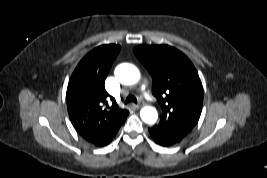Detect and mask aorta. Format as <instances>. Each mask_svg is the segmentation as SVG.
I'll return each mask as SVG.
<instances>
[{"instance_id": "762f6f07", "label": "aorta", "mask_w": 267, "mask_h": 178, "mask_svg": "<svg viewBox=\"0 0 267 178\" xmlns=\"http://www.w3.org/2000/svg\"><path fill=\"white\" fill-rule=\"evenodd\" d=\"M115 77L124 85H132L139 81L140 72L132 64L122 63L115 69ZM141 119L147 124H154L157 121V110L152 106H145L140 111Z\"/></svg>"}]
</instances>
